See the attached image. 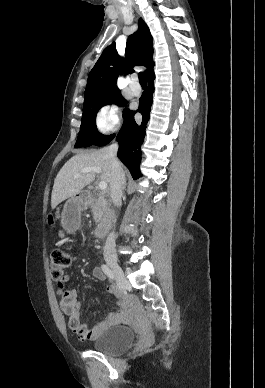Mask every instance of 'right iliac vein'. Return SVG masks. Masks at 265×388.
Instances as JSON below:
<instances>
[{
  "label": "right iliac vein",
  "instance_id": "1",
  "mask_svg": "<svg viewBox=\"0 0 265 388\" xmlns=\"http://www.w3.org/2000/svg\"><path fill=\"white\" fill-rule=\"evenodd\" d=\"M106 262L112 268L115 274L119 290H122L126 286L127 280L124 276L122 269L118 265L116 258L113 256H107Z\"/></svg>",
  "mask_w": 265,
  "mask_h": 388
}]
</instances>
